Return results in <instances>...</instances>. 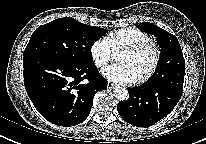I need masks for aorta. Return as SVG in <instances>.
I'll use <instances>...</instances> for the list:
<instances>
[{"label": "aorta", "mask_w": 206, "mask_h": 144, "mask_svg": "<svg viewBox=\"0 0 206 144\" xmlns=\"http://www.w3.org/2000/svg\"><path fill=\"white\" fill-rule=\"evenodd\" d=\"M114 97L117 100L124 101L129 97L128 90L123 87H116L113 91Z\"/></svg>", "instance_id": "762f6f07"}]
</instances>
